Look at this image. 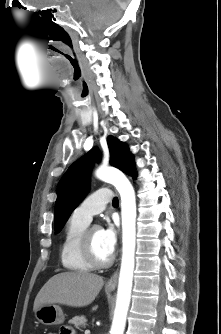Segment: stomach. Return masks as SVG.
I'll use <instances>...</instances> for the list:
<instances>
[{
    "mask_svg": "<svg viewBox=\"0 0 221 334\" xmlns=\"http://www.w3.org/2000/svg\"><path fill=\"white\" fill-rule=\"evenodd\" d=\"M112 290V289H110ZM36 319L44 325H58L65 320V315L60 306L47 304L35 311Z\"/></svg>",
    "mask_w": 221,
    "mask_h": 334,
    "instance_id": "0dacf381",
    "label": "stomach"
}]
</instances>
